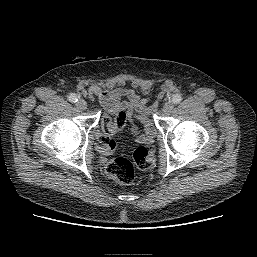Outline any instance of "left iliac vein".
Listing matches in <instances>:
<instances>
[{
  "mask_svg": "<svg viewBox=\"0 0 257 257\" xmlns=\"http://www.w3.org/2000/svg\"><path fill=\"white\" fill-rule=\"evenodd\" d=\"M173 108H174L173 102L168 101V102H166L165 105L163 106L162 111H163V113H165V114H169V113L173 110Z\"/></svg>",
  "mask_w": 257,
  "mask_h": 257,
  "instance_id": "1",
  "label": "left iliac vein"
}]
</instances>
